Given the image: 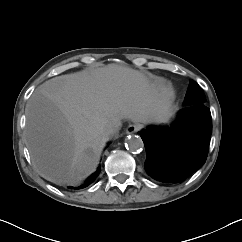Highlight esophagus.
I'll return each instance as SVG.
<instances>
[{"instance_id":"1","label":"esophagus","mask_w":242,"mask_h":242,"mask_svg":"<svg viewBox=\"0 0 242 242\" xmlns=\"http://www.w3.org/2000/svg\"><path fill=\"white\" fill-rule=\"evenodd\" d=\"M141 129V126L138 124H130L127 129H126V133L127 134H133L138 132Z\"/></svg>"}]
</instances>
